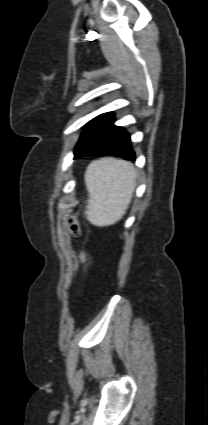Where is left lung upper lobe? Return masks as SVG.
<instances>
[{
	"label": "left lung upper lobe",
	"mask_w": 208,
	"mask_h": 425,
	"mask_svg": "<svg viewBox=\"0 0 208 425\" xmlns=\"http://www.w3.org/2000/svg\"><path fill=\"white\" fill-rule=\"evenodd\" d=\"M93 120H94V119H93ZM93 120H91L90 122H88V123H87V125H88L89 123H91ZM81 150H82V144H81V142L79 141V142H78V144H77V146L75 147V151H74V155H75V157H78V156H79V154H80Z\"/></svg>",
	"instance_id": "1"
}]
</instances>
